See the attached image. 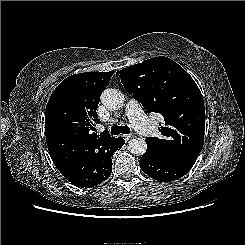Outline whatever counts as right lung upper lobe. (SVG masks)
<instances>
[{"instance_id": "right-lung-upper-lobe-1", "label": "right lung upper lobe", "mask_w": 245, "mask_h": 245, "mask_svg": "<svg viewBox=\"0 0 245 245\" xmlns=\"http://www.w3.org/2000/svg\"><path fill=\"white\" fill-rule=\"evenodd\" d=\"M114 71L85 72L63 80L52 93L45 111V135L50 156L56 166L76 168L83 179L96 146L114 139L108 131L97 135L96 113L100 95Z\"/></svg>"}]
</instances>
